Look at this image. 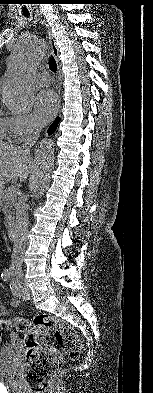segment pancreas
Listing matches in <instances>:
<instances>
[{"label": "pancreas", "instance_id": "obj_1", "mask_svg": "<svg viewBox=\"0 0 153 393\" xmlns=\"http://www.w3.org/2000/svg\"><path fill=\"white\" fill-rule=\"evenodd\" d=\"M12 187V186H11ZM11 187H7L0 196V205L3 207L5 215V227L10 228L14 223V208L17 202V192H10Z\"/></svg>", "mask_w": 153, "mask_h": 393}]
</instances>
